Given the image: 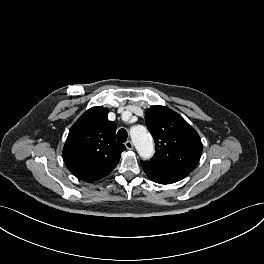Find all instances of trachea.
<instances>
[{
    "label": "trachea",
    "mask_w": 264,
    "mask_h": 264,
    "mask_svg": "<svg viewBox=\"0 0 264 264\" xmlns=\"http://www.w3.org/2000/svg\"><path fill=\"white\" fill-rule=\"evenodd\" d=\"M117 140L122 143L126 142L127 131L124 128L119 129V131L117 132Z\"/></svg>",
    "instance_id": "1"
}]
</instances>
